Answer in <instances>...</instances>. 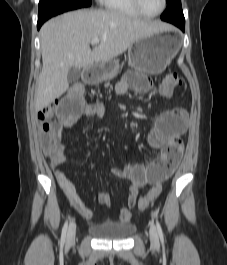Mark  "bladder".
Listing matches in <instances>:
<instances>
[{"label":"bladder","mask_w":227,"mask_h":265,"mask_svg":"<svg viewBox=\"0 0 227 265\" xmlns=\"http://www.w3.org/2000/svg\"><path fill=\"white\" fill-rule=\"evenodd\" d=\"M135 231L133 224H93L89 232L99 239L123 240L129 238Z\"/></svg>","instance_id":"obj_1"}]
</instances>
